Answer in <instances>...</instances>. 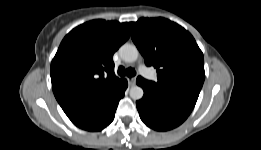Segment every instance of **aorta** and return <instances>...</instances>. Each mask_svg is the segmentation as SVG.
Segmentation results:
<instances>
[{"instance_id": "aorta-1", "label": "aorta", "mask_w": 261, "mask_h": 150, "mask_svg": "<svg viewBox=\"0 0 261 150\" xmlns=\"http://www.w3.org/2000/svg\"><path fill=\"white\" fill-rule=\"evenodd\" d=\"M119 54L123 61L134 62L137 60L139 52L136 46L126 43L120 47ZM129 94L133 100H139L143 97L144 91L140 86L135 85L131 87Z\"/></svg>"}]
</instances>
